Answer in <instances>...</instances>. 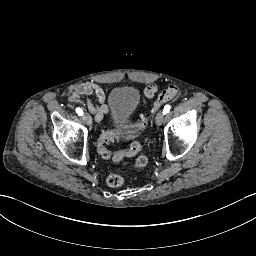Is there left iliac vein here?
Instances as JSON below:
<instances>
[{
    "label": "left iliac vein",
    "instance_id": "left-iliac-vein-1",
    "mask_svg": "<svg viewBox=\"0 0 256 256\" xmlns=\"http://www.w3.org/2000/svg\"><path fill=\"white\" fill-rule=\"evenodd\" d=\"M164 118H165V116H164L163 112L160 111L157 113V115H156L157 126H161L163 124Z\"/></svg>",
    "mask_w": 256,
    "mask_h": 256
}]
</instances>
